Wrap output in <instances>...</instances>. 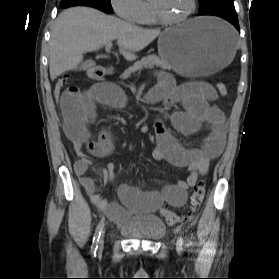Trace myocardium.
I'll return each instance as SVG.
<instances>
[{"mask_svg":"<svg viewBox=\"0 0 279 279\" xmlns=\"http://www.w3.org/2000/svg\"><path fill=\"white\" fill-rule=\"evenodd\" d=\"M149 2L155 18L158 22L166 25H177L187 21L194 14L197 7V0H191V6L184 15L178 18H169L163 14L155 0H149Z\"/></svg>","mask_w":279,"mask_h":279,"instance_id":"1","label":"myocardium"}]
</instances>
